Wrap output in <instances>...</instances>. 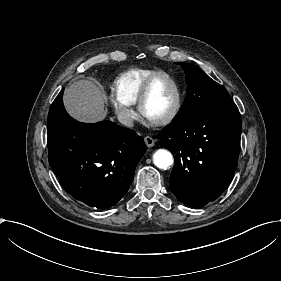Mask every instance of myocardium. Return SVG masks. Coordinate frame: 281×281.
<instances>
[{
  "instance_id": "1",
  "label": "myocardium",
  "mask_w": 281,
  "mask_h": 281,
  "mask_svg": "<svg viewBox=\"0 0 281 281\" xmlns=\"http://www.w3.org/2000/svg\"><path fill=\"white\" fill-rule=\"evenodd\" d=\"M162 80H167L172 84V86L174 88V92H175V99H174V104H173L170 114L163 119L155 120V119L149 118L146 115V113L144 111V105H145L146 101L148 100V98L150 97L155 85ZM181 105H182V93H181L180 85H179L178 81L171 74H168V73L158 74V75L152 76L150 79H148V81L144 85V87L139 95V98L137 100V108H138V111H139L141 117L143 119H145L146 121H148L149 123L156 125V126H164V125H168V124L172 123L178 116L180 109H181Z\"/></svg>"
}]
</instances>
